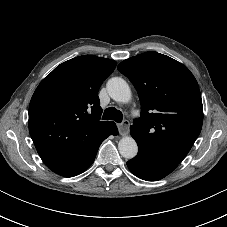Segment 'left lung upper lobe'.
Instances as JSON below:
<instances>
[{
  "label": "left lung upper lobe",
  "mask_w": 227,
  "mask_h": 227,
  "mask_svg": "<svg viewBox=\"0 0 227 227\" xmlns=\"http://www.w3.org/2000/svg\"><path fill=\"white\" fill-rule=\"evenodd\" d=\"M118 70L129 78L140 98L141 118L130 127L139 151L179 164L203 123L195 77L180 62L154 51L122 61Z\"/></svg>",
  "instance_id": "obj_1"
}]
</instances>
